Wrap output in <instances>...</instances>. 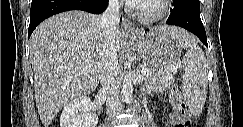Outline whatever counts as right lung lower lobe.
Instances as JSON below:
<instances>
[{"mask_svg":"<svg viewBox=\"0 0 243 127\" xmlns=\"http://www.w3.org/2000/svg\"><path fill=\"white\" fill-rule=\"evenodd\" d=\"M108 0H33L30 10L28 38L46 18L69 10H83L93 14L104 11Z\"/></svg>","mask_w":243,"mask_h":127,"instance_id":"obj_1","label":"right lung lower lobe"}]
</instances>
